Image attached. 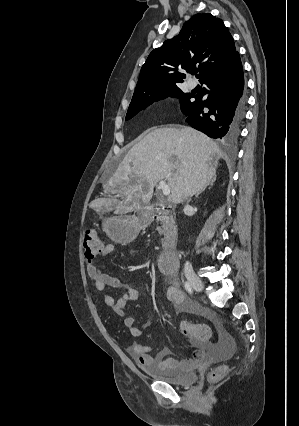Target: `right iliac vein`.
<instances>
[{"instance_id":"obj_1","label":"right iliac vein","mask_w":299,"mask_h":426,"mask_svg":"<svg viewBox=\"0 0 299 426\" xmlns=\"http://www.w3.org/2000/svg\"><path fill=\"white\" fill-rule=\"evenodd\" d=\"M185 275H186L188 282L190 283V285L193 287L194 290H196L198 292L203 290V288H204L203 282L195 274V272L193 271L192 268L187 267L185 269Z\"/></svg>"}]
</instances>
